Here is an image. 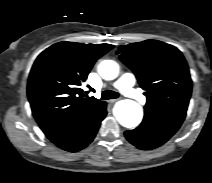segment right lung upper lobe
Returning a JSON list of instances; mask_svg holds the SVG:
<instances>
[{"instance_id":"cb5924a9","label":"right lung upper lobe","mask_w":212,"mask_h":183,"mask_svg":"<svg viewBox=\"0 0 212 183\" xmlns=\"http://www.w3.org/2000/svg\"><path fill=\"white\" fill-rule=\"evenodd\" d=\"M112 48L110 44L59 42L37 57L27 93L33 116L45 134L91 117L102 108L105 102L85 98L80 86L95 61Z\"/></svg>"}]
</instances>
